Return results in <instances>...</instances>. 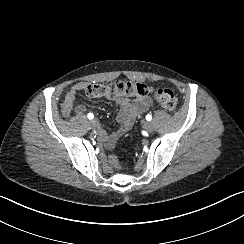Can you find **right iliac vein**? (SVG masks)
<instances>
[{"label": "right iliac vein", "instance_id": "1", "mask_svg": "<svg viewBox=\"0 0 244 244\" xmlns=\"http://www.w3.org/2000/svg\"><path fill=\"white\" fill-rule=\"evenodd\" d=\"M98 125H99V122H98L97 119H92V120L90 121V126H91L92 128H96V127H98Z\"/></svg>", "mask_w": 244, "mask_h": 244}]
</instances>
